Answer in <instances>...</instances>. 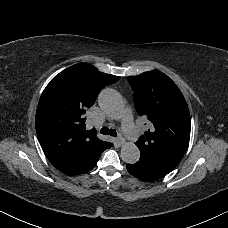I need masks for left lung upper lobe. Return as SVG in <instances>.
Segmentation results:
<instances>
[{"instance_id": "1", "label": "left lung upper lobe", "mask_w": 228, "mask_h": 228, "mask_svg": "<svg viewBox=\"0 0 228 228\" xmlns=\"http://www.w3.org/2000/svg\"><path fill=\"white\" fill-rule=\"evenodd\" d=\"M134 94L137 113L151 127L135 143L140 151H149L178 162L190 139L191 122L187 103L176 84L158 70L127 78Z\"/></svg>"}]
</instances>
